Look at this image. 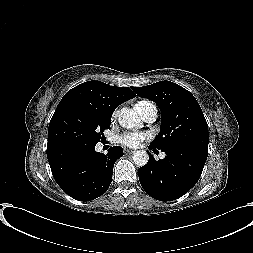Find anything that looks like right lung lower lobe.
Masks as SVG:
<instances>
[{
    "label": "right lung lower lobe",
    "instance_id": "obj_1",
    "mask_svg": "<svg viewBox=\"0 0 253 253\" xmlns=\"http://www.w3.org/2000/svg\"><path fill=\"white\" fill-rule=\"evenodd\" d=\"M95 145L73 143L47 149L55 181L79 201L93 200L108 190L114 163L123 155L120 146L111 147L104 155L95 151Z\"/></svg>",
    "mask_w": 253,
    "mask_h": 253
}]
</instances>
